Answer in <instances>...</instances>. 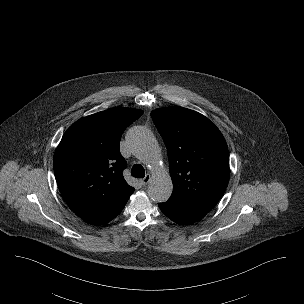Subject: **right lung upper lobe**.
Listing matches in <instances>:
<instances>
[{
	"mask_svg": "<svg viewBox=\"0 0 304 304\" xmlns=\"http://www.w3.org/2000/svg\"><path fill=\"white\" fill-rule=\"evenodd\" d=\"M143 114L110 108L84 117L64 133L53 159L54 174L68 206L91 224H101L128 201L134 188L123 178L119 151L124 130Z\"/></svg>",
	"mask_w": 304,
	"mask_h": 304,
	"instance_id": "1",
	"label": "right lung upper lobe"
}]
</instances>
